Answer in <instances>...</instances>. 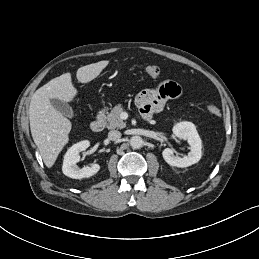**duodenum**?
Wrapping results in <instances>:
<instances>
[{
    "instance_id": "1",
    "label": "duodenum",
    "mask_w": 259,
    "mask_h": 259,
    "mask_svg": "<svg viewBox=\"0 0 259 259\" xmlns=\"http://www.w3.org/2000/svg\"><path fill=\"white\" fill-rule=\"evenodd\" d=\"M104 115L105 109H99L96 112L95 118L91 122V130L94 132H100L104 128Z\"/></svg>"
}]
</instances>
